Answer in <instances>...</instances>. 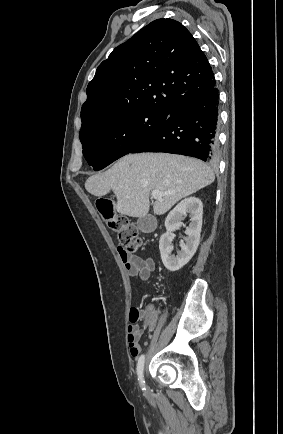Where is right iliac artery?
Returning a JSON list of instances; mask_svg holds the SVG:
<instances>
[{"label":"right iliac artery","instance_id":"obj_1","mask_svg":"<svg viewBox=\"0 0 283 434\" xmlns=\"http://www.w3.org/2000/svg\"><path fill=\"white\" fill-rule=\"evenodd\" d=\"M144 361H145V356L141 355L138 359V363H137V374H138V380L140 382V385L142 387L143 390H145V381L143 378V372H144Z\"/></svg>","mask_w":283,"mask_h":434}]
</instances>
